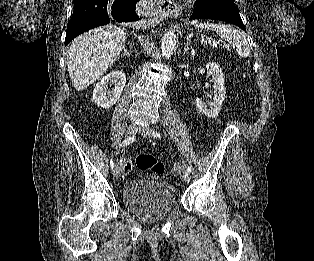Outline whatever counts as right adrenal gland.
Returning <instances> with one entry per match:
<instances>
[{"mask_svg":"<svg viewBox=\"0 0 314 261\" xmlns=\"http://www.w3.org/2000/svg\"><path fill=\"white\" fill-rule=\"evenodd\" d=\"M129 45V44H128ZM130 47H131V45H130ZM122 55L123 56H129L130 57V53L128 52V50H127V46H124L123 47V53H122Z\"/></svg>","mask_w":314,"mask_h":261,"instance_id":"2a0ac1e0","label":"right adrenal gland"}]
</instances>
